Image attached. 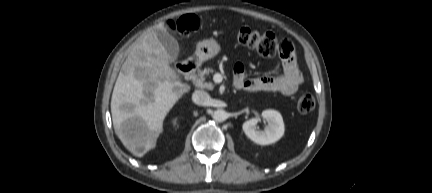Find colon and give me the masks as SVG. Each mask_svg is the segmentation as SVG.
Here are the masks:
<instances>
[{
    "instance_id": "1",
    "label": "colon",
    "mask_w": 432,
    "mask_h": 193,
    "mask_svg": "<svg viewBox=\"0 0 432 193\" xmlns=\"http://www.w3.org/2000/svg\"><path fill=\"white\" fill-rule=\"evenodd\" d=\"M198 19L193 15H184L176 21H171L169 26L172 30L181 35H189L198 28ZM238 43L262 57H272L279 53L287 55L291 52L290 44L287 41L278 42L271 32H260L248 27H242L233 31ZM298 110L307 113L315 108V98L309 93H303L297 104Z\"/></svg>"
}]
</instances>
